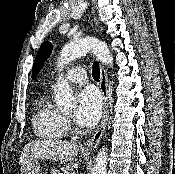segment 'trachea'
<instances>
[{
    "label": "trachea",
    "instance_id": "3493384b",
    "mask_svg": "<svg viewBox=\"0 0 175 174\" xmlns=\"http://www.w3.org/2000/svg\"><path fill=\"white\" fill-rule=\"evenodd\" d=\"M92 76H93L94 80L99 81V79H100V68H99V64H98L97 61H95L94 64H93Z\"/></svg>",
    "mask_w": 175,
    "mask_h": 174
}]
</instances>
